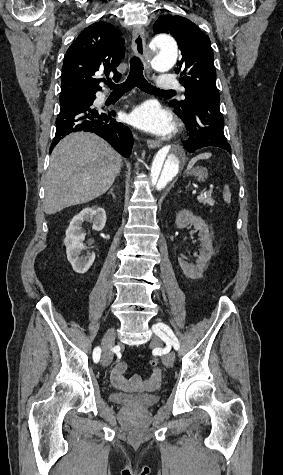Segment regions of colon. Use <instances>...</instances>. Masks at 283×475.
I'll return each instance as SVG.
<instances>
[{
    "label": "colon",
    "instance_id": "1",
    "mask_svg": "<svg viewBox=\"0 0 283 475\" xmlns=\"http://www.w3.org/2000/svg\"><path fill=\"white\" fill-rule=\"evenodd\" d=\"M149 365H150L151 367H156V366H158V359H157V358H152V359H150Z\"/></svg>",
    "mask_w": 283,
    "mask_h": 475
}]
</instances>
